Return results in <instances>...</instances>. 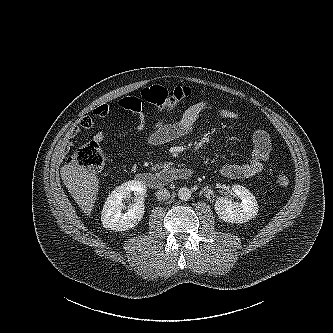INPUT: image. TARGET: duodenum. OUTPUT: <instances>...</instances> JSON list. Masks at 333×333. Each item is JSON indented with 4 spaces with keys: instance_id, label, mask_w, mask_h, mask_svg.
<instances>
[{
    "instance_id": "410a0bca",
    "label": "duodenum",
    "mask_w": 333,
    "mask_h": 333,
    "mask_svg": "<svg viewBox=\"0 0 333 333\" xmlns=\"http://www.w3.org/2000/svg\"><path fill=\"white\" fill-rule=\"evenodd\" d=\"M192 174L188 167H169L157 172H140L136 175V180L150 188L161 189L171 182L188 180Z\"/></svg>"
}]
</instances>
